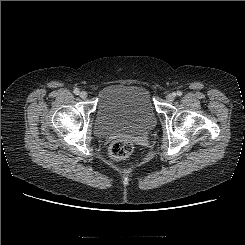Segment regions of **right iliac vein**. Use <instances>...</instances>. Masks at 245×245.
<instances>
[{
	"mask_svg": "<svg viewBox=\"0 0 245 245\" xmlns=\"http://www.w3.org/2000/svg\"><path fill=\"white\" fill-rule=\"evenodd\" d=\"M79 96H80L81 99H86V98H87V92L81 91V92L79 93Z\"/></svg>",
	"mask_w": 245,
	"mask_h": 245,
	"instance_id": "right-iliac-vein-1",
	"label": "right iliac vein"
}]
</instances>
